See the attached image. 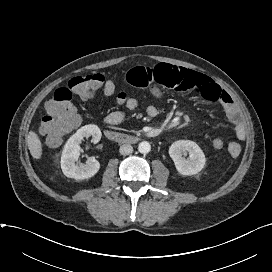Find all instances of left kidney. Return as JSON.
Returning a JSON list of instances; mask_svg holds the SVG:
<instances>
[{"label": "left kidney", "mask_w": 272, "mask_h": 272, "mask_svg": "<svg viewBox=\"0 0 272 272\" xmlns=\"http://www.w3.org/2000/svg\"><path fill=\"white\" fill-rule=\"evenodd\" d=\"M187 154H189V159L183 157ZM169 155L174 161L177 171L185 176L198 174L206 162L202 149L191 140H178L172 143Z\"/></svg>", "instance_id": "obj_1"}]
</instances>
